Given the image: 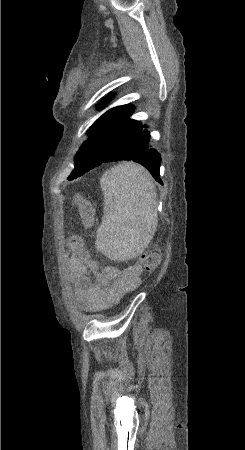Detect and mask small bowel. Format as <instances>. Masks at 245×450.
Returning <instances> with one entry per match:
<instances>
[{"mask_svg":"<svg viewBox=\"0 0 245 450\" xmlns=\"http://www.w3.org/2000/svg\"><path fill=\"white\" fill-rule=\"evenodd\" d=\"M67 267L75 286L77 302L89 312L102 311L141 282V269L131 265L123 270L114 267L99 268L97 259L79 261L73 252H67Z\"/></svg>","mask_w":245,"mask_h":450,"instance_id":"1","label":"small bowel"}]
</instances>
